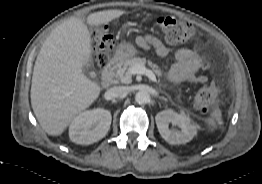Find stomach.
<instances>
[{"label": "stomach", "mask_w": 262, "mask_h": 184, "mask_svg": "<svg viewBox=\"0 0 262 184\" xmlns=\"http://www.w3.org/2000/svg\"><path fill=\"white\" fill-rule=\"evenodd\" d=\"M138 53L135 46L130 42L120 43L114 53V58L119 61H125Z\"/></svg>", "instance_id": "0dacf381"}]
</instances>
